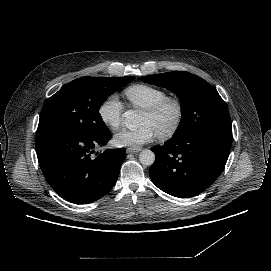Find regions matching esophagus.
<instances>
[{
  "label": "esophagus",
  "instance_id": "34e87169",
  "mask_svg": "<svg viewBox=\"0 0 271 271\" xmlns=\"http://www.w3.org/2000/svg\"><path fill=\"white\" fill-rule=\"evenodd\" d=\"M140 150H141L140 148H127L126 152L128 154H136V153L140 152Z\"/></svg>",
  "mask_w": 271,
  "mask_h": 271
}]
</instances>
